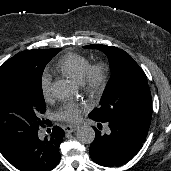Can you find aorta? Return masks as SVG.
Here are the masks:
<instances>
[{
    "label": "aorta",
    "mask_w": 171,
    "mask_h": 171,
    "mask_svg": "<svg viewBox=\"0 0 171 171\" xmlns=\"http://www.w3.org/2000/svg\"><path fill=\"white\" fill-rule=\"evenodd\" d=\"M77 88L69 80L61 79L52 85V94L58 99H67L75 95ZM76 137L82 144H91L95 139V131L90 126H82L77 130Z\"/></svg>",
    "instance_id": "aorta-1"
}]
</instances>
